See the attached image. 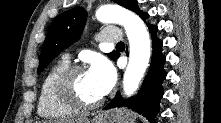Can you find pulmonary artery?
<instances>
[{
	"mask_svg": "<svg viewBox=\"0 0 221 123\" xmlns=\"http://www.w3.org/2000/svg\"><path fill=\"white\" fill-rule=\"evenodd\" d=\"M99 39L104 43H118L121 41V34L117 28H105L100 32ZM68 58V55L64 57L66 60Z\"/></svg>",
	"mask_w": 221,
	"mask_h": 123,
	"instance_id": "e3ab8cb5",
	"label": "pulmonary artery"
}]
</instances>
